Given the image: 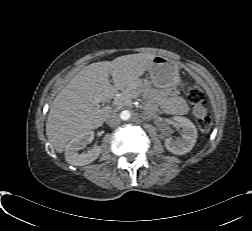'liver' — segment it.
<instances>
[{
    "instance_id": "6515ba94",
    "label": "liver",
    "mask_w": 252,
    "mask_h": 231,
    "mask_svg": "<svg viewBox=\"0 0 252 231\" xmlns=\"http://www.w3.org/2000/svg\"><path fill=\"white\" fill-rule=\"evenodd\" d=\"M154 58L148 53L130 54L84 67L51 105L46 135L53 148L61 153L73 137L100 127L111 108H100L99 103L111 100L118 91L131 93L139 88V77L149 70Z\"/></svg>"
}]
</instances>
